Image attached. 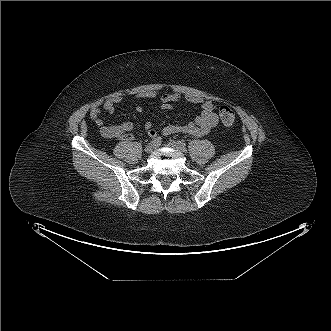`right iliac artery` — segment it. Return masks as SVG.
<instances>
[{
    "label": "right iliac artery",
    "instance_id": "1",
    "mask_svg": "<svg viewBox=\"0 0 331 331\" xmlns=\"http://www.w3.org/2000/svg\"><path fill=\"white\" fill-rule=\"evenodd\" d=\"M161 143V137L154 138L153 140L150 141L149 144L157 146Z\"/></svg>",
    "mask_w": 331,
    "mask_h": 331
}]
</instances>
